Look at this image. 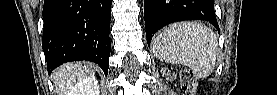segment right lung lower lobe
I'll list each match as a JSON object with an SVG mask.
<instances>
[{
    "label": "right lung lower lobe",
    "instance_id": "obj_1",
    "mask_svg": "<svg viewBox=\"0 0 277 95\" xmlns=\"http://www.w3.org/2000/svg\"><path fill=\"white\" fill-rule=\"evenodd\" d=\"M43 19L48 73L66 62L88 60L108 74L111 0H45Z\"/></svg>",
    "mask_w": 277,
    "mask_h": 95
}]
</instances>
